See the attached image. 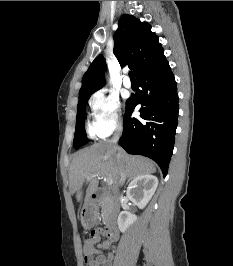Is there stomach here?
<instances>
[{
  "mask_svg": "<svg viewBox=\"0 0 233 266\" xmlns=\"http://www.w3.org/2000/svg\"><path fill=\"white\" fill-rule=\"evenodd\" d=\"M82 223L85 227H91L96 220V213L93 210H86L83 214Z\"/></svg>",
  "mask_w": 233,
  "mask_h": 266,
  "instance_id": "1",
  "label": "stomach"
}]
</instances>
